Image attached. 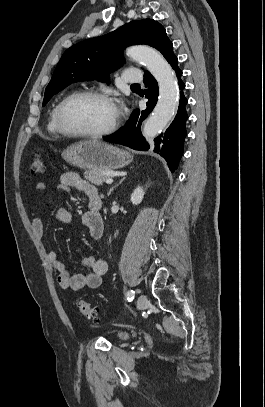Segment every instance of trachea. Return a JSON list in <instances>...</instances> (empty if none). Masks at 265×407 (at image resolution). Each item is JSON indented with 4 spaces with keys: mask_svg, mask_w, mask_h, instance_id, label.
Instances as JSON below:
<instances>
[{
    "mask_svg": "<svg viewBox=\"0 0 265 407\" xmlns=\"http://www.w3.org/2000/svg\"><path fill=\"white\" fill-rule=\"evenodd\" d=\"M132 86H139V84H132Z\"/></svg>",
    "mask_w": 265,
    "mask_h": 407,
    "instance_id": "obj_1",
    "label": "trachea"
}]
</instances>
